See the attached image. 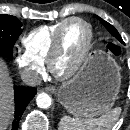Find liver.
<instances>
[{
    "label": "liver",
    "mask_w": 130,
    "mask_h": 130,
    "mask_svg": "<svg viewBox=\"0 0 130 130\" xmlns=\"http://www.w3.org/2000/svg\"><path fill=\"white\" fill-rule=\"evenodd\" d=\"M13 87L6 63L0 58V130H5L13 115Z\"/></svg>",
    "instance_id": "1"
}]
</instances>
